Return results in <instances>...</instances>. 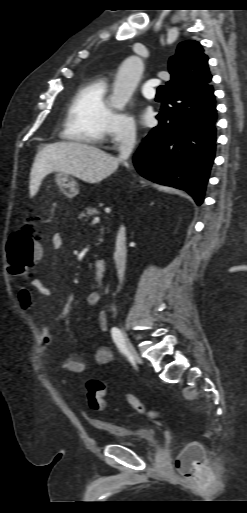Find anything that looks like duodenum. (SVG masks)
I'll use <instances>...</instances> for the list:
<instances>
[{"instance_id": "duodenum-1", "label": "duodenum", "mask_w": 247, "mask_h": 513, "mask_svg": "<svg viewBox=\"0 0 247 513\" xmlns=\"http://www.w3.org/2000/svg\"><path fill=\"white\" fill-rule=\"evenodd\" d=\"M107 272V264L105 260L98 259L94 263V280L101 282L105 279Z\"/></svg>"}]
</instances>
